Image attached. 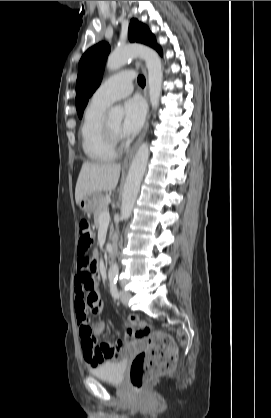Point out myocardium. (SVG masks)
<instances>
[{
  "label": "myocardium",
  "instance_id": "1",
  "mask_svg": "<svg viewBox=\"0 0 271 418\" xmlns=\"http://www.w3.org/2000/svg\"><path fill=\"white\" fill-rule=\"evenodd\" d=\"M103 132H104V137L106 139V141L108 142V144H110L115 150L117 148V146L120 143V134L114 132L107 123H104L103 125Z\"/></svg>",
  "mask_w": 271,
  "mask_h": 418
}]
</instances>
